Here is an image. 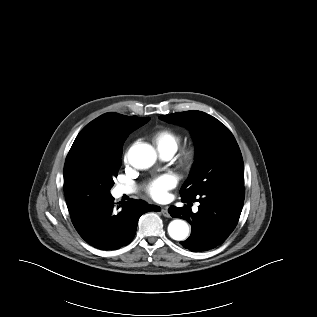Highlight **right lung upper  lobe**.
Here are the masks:
<instances>
[{"instance_id":"right-lung-upper-lobe-1","label":"right lung upper lobe","mask_w":317,"mask_h":317,"mask_svg":"<svg viewBox=\"0 0 317 317\" xmlns=\"http://www.w3.org/2000/svg\"><path fill=\"white\" fill-rule=\"evenodd\" d=\"M141 118L136 116L127 118L117 113H105L87 124L76 137L72 147L93 141L110 145L122 151V145L128 134L135 130Z\"/></svg>"}]
</instances>
